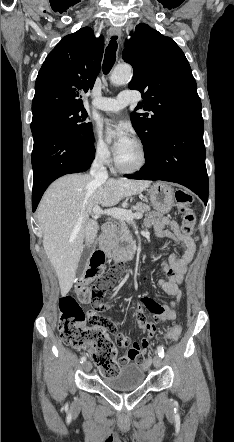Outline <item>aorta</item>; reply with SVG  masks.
<instances>
[{
  "label": "aorta",
  "instance_id": "aorta-1",
  "mask_svg": "<svg viewBox=\"0 0 234 442\" xmlns=\"http://www.w3.org/2000/svg\"><path fill=\"white\" fill-rule=\"evenodd\" d=\"M133 72L130 65H119L113 70L110 81L114 85H123L130 81Z\"/></svg>",
  "mask_w": 234,
  "mask_h": 442
}]
</instances>
